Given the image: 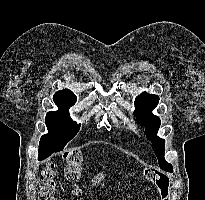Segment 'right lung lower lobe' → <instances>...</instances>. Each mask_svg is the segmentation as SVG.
I'll list each match as a JSON object with an SVG mask.
<instances>
[{
	"label": "right lung lower lobe",
	"mask_w": 205,
	"mask_h": 200,
	"mask_svg": "<svg viewBox=\"0 0 205 200\" xmlns=\"http://www.w3.org/2000/svg\"><path fill=\"white\" fill-rule=\"evenodd\" d=\"M54 152H58V151L56 148H52L51 145L39 144V158H38V160H42L46 157H49Z\"/></svg>",
	"instance_id": "obj_1"
}]
</instances>
